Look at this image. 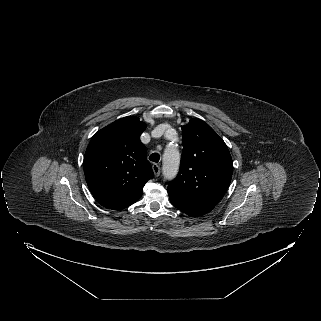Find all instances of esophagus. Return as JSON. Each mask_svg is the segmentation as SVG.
<instances>
[{
	"mask_svg": "<svg viewBox=\"0 0 321 321\" xmlns=\"http://www.w3.org/2000/svg\"><path fill=\"white\" fill-rule=\"evenodd\" d=\"M152 169H153V172L155 174L156 177H158L160 175V172H161V168L158 164H153L152 165Z\"/></svg>",
	"mask_w": 321,
	"mask_h": 321,
	"instance_id": "obj_1",
	"label": "esophagus"
}]
</instances>
